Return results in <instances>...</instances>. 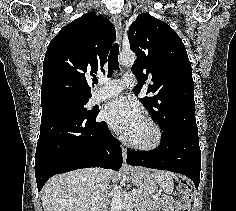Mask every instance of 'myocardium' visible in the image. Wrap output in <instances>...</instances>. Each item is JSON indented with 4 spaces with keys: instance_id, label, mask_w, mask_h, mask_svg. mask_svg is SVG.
I'll list each match as a JSON object with an SVG mask.
<instances>
[{
    "instance_id": "f54148a6",
    "label": "myocardium",
    "mask_w": 236,
    "mask_h": 211,
    "mask_svg": "<svg viewBox=\"0 0 236 211\" xmlns=\"http://www.w3.org/2000/svg\"><path fill=\"white\" fill-rule=\"evenodd\" d=\"M143 120L149 125L152 130V139L149 142H138L126 136L125 141L126 143L135 149L143 150V151H150L157 149L162 142V129L160 125L150 116H143Z\"/></svg>"
}]
</instances>
